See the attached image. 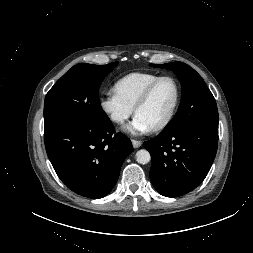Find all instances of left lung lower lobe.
Returning <instances> with one entry per match:
<instances>
[{"label":"left lung lower lobe","instance_id":"left-lung-lower-lobe-1","mask_svg":"<svg viewBox=\"0 0 253 253\" xmlns=\"http://www.w3.org/2000/svg\"><path fill=\"white\" fill-rule=\"evenodd\" d=\"M218 145V128L192 126L159 134L144 147L152 157L150 179L163 196H182L199 186L208 174Z\"/></svg>","mask_w":253,"mask_h":253}]
</instances>
